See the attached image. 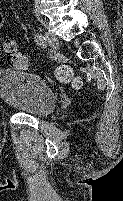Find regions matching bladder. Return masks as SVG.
<instances>
[{"mask_svg": "<svg viewBox=\"0 0 123 201\" xmlns=\"http://www.w3.org/2000/svg\"><path fill=\"white\" fill-rule=\"evenodd\" d=\"M0 97L10 108L34 117L51 113L57 97L45 81L32 73L0 69Z\"/></svg>", "mask_w": 123, "mask_h": 201, "instance_id": "bladder-1", "label": "bladder"}]
</instances>
